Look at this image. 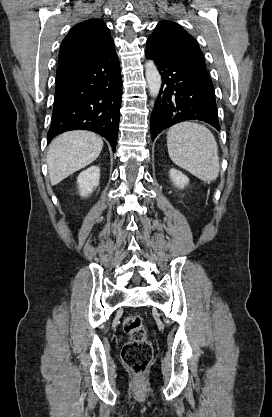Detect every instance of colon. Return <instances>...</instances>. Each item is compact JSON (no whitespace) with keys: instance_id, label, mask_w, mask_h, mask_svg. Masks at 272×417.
<instances>
[{"instance_id":"colon-1","label":"colon","mask_w":272,"mask_h":417,"mask_svg":"<svg viewBox=\"0 0 272 417\" xmlns=\"http://www.w3.org/2000/svg\"><path fill=\"white\" fill-rule=\"evenodd\" d=\"M123 330L129 339L122 348V361L133 374L142 375L153 357V349L147 339L142 318L136 314L127 316Z\"/></svg>"}]
</instances>
